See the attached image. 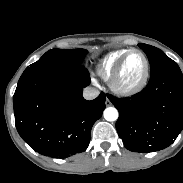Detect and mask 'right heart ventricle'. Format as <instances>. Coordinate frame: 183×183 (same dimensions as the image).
Returning <instances> with one entry per match:
<instances>
[{
    "instance_id": "1",
    "label": "right heart ventricle",
    "mask_w": 183,
    "mask_h": 183,
    "mask_svg": "<svg viewBox=\"0 0 183 183\" xmlns=\"http://www.w3.org/2000/svg\"><path fill=\"white\" fill-rule=\"evenodd\" d=\"M127 51L128 49H120L105 55L98 63V73L105 79L110 78L117 63Z\"/></svg>"
}]
</instances>
